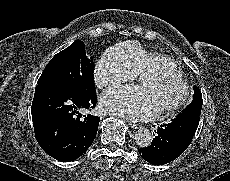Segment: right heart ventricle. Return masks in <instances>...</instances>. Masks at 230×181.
Wrapping results in <instances>:
<instances>
[{
  "mask_svg": "<svg viewBox=\"0 0 230 181\" xmlns=\"http://www.w3.org/2000/svg\"><path fill=\"white\" fill-rule=\"evenodd\" d=\"M108 60L128 75H144L151 71L168 72L182 77L172 58L150 52L137 41L117 45L108 52Z\"/></svg>",
  "mask_w": 230,
  "mask_h": 181,
  "instance_id": "obj_1",
  "label": "right heart ventricle"
}]
</instances>
